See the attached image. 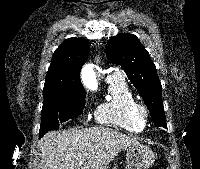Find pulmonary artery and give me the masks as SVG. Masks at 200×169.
Returning a JSON list of instances; mask_svg holds the SVG:
<instances>
[{
  "label": "pulmonary artery",
  "instance_id": "obj_1",
  "mask_svg": "<svg viewBox=\"0 0 200 169\" xmlns=\"http://www.w3.org/2000/svg\"><path fill=\"white\" fill-rule=\"evenodd\" d=\"M110 77H112V76L110 75V76H108L107 78H110Z\"/></svg>",
  "mask_w": 200,
  "mask_h": 169
}]
</instances>
